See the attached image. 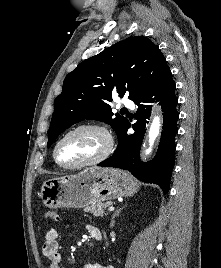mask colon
<instances>
[{"mask_svg":"<svg viewBox=\"0 0 221 268\" xmlns=\"http://www.w3.org/2000/svg\"><path fill=\"white\" fill-rule=\"evenodd\" d=\"M45 219L47 222H55L58 220V215L55 211L49 210L45 213Z\"/></svg>","mask_w":221,"mask_h":268,"instance_id":"colon-1","label":"colon"}]
</instances>
